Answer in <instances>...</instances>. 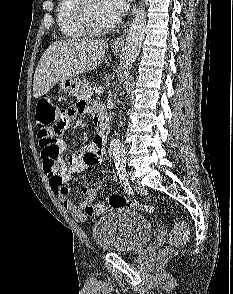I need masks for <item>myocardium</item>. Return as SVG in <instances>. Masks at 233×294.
I'll use <instances>...</instances> for the list:
<instances>
[{"mask_svg": "<svg viewBox=\"0 0 233 294\" xmlns=\"http://www.w3.org/2000/svg\"><path fill=\"white\" fill-rule=\"evenodd\" d=\"M78 19L84 30L89 35H101L110 31L116 24L112 21L106 25H97L91 13V0H80Z\"/></svg>", "mask_w": 233, "mask_h": 294, "instance_id": "myocardium-1", "label": "myocardium"}]
</instances>
